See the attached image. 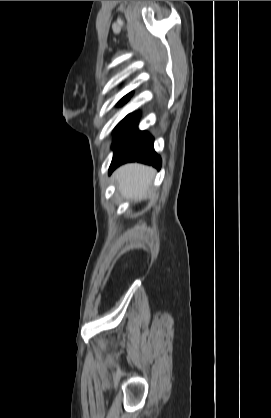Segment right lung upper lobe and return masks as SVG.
<instances>
[{
  "instance_id": "right-lung-upper-lobe-1",
  "label": "right lung upper lobe",
  "mask_w": 271,
  "mask_h": 418,
  "mask_svg": "<svg viewBox=\"0 0 271 418\" xmlns=\"http://www.w3.org/2000/svg\"><path fill=\"white\" fill-rule=\"evenodd\" d=\"M131 95H132V93H129L128 95H126L125 97H123L121 99V101H127L130 98Z\"/></svg>"
}]
</instances>
